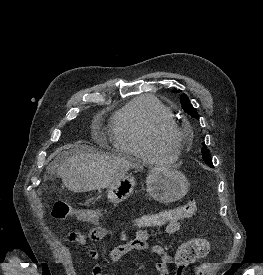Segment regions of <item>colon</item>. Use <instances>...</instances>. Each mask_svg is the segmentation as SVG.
<instances>
[{"instance_id":"colon-1","label":"colon","mask_w":263,"mask_h":275,"mask_svg":"<svg viewBox=\"0 0 263 275\" xmlns=\"http://www.w3.org/2000/svg\"><path fill=\"white\" fill-rule=\"evenodd\" d=\"M195 211L196 203L191 200L175 208L142 215L135 220V225L140 228L161 227L171 222L190 218ZM52 216L58 220L70 216L81 222L96 223L102 219V210L99 208L78 209L58 202L53 206ZM209 251L210 243L203 237H196L181 244L174 255L176 275H183L189 265L207 256ZM206 268L207 265H200L196 268L195 275H205Z\"/></svg>"}]
</instances>
